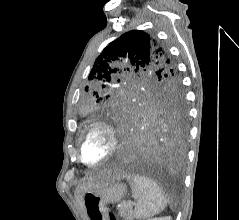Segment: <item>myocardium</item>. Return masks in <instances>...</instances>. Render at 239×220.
Listing matches in <instances>:
<instances>
[{"label":"myocardium","instance_id":"obj_1","mask_svg":"<svg viewBox=\"0 0 239 220\" xmlns=\"http://www.w3.org/2000/svg\"><path fill=\"white\" fill-rule=\"evenodd\" d=\"M100 129L102 131H104L109 139V144H108V151L107 153L99 160L95 161V162H88L83 158L82 155V147H83V142L85 140V138L94 130ZM118 148V137L116 134V131L114 130V128L104 122V121H95L90 123L81 133L80 137H79V154H78V158L80 160V162L82 164H84L85 166H89V167H93V166H97L100 165L102 163H104L105 161H107L108 159H110L114 153L116 152Z\"/></svg>","mask_w":239,"mask_h":220}]
</instances>
